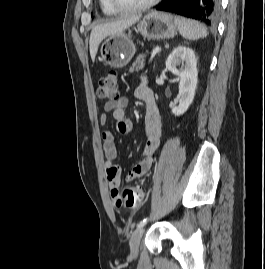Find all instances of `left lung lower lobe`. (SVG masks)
<instances>
[{"label":"left lung lower lobe","instance_id":"obj_1","mask_svg":"<svg viewBox=\"0 0 265 269\" xmlns=\"http://www.w3.org/2000/svg\"><path fill=\"white\" fill-rule=\"evenodd\" d=\"M157 10L176 13L210 25L219 14L220 0H166Z\"/></svg>","mask_w":265,"mask_h":269}]
</instances>
